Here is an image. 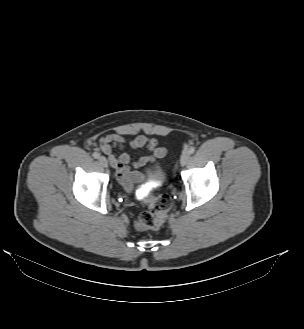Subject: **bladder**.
I'll use <instances>...</instances> for the list:
<instances>
[{
	"instance_id": "31cf9c89",
	"label": "bladder",
	"mask_w": 304,
	"mask_h": 329,
	"mask_svg": "<svg viewBox=\"0 0 304 329\" xmlns=\"http://www.w3.org/2000/svg\"><path fill=\"white\" fill-rule=\"evenodd\" d=\"M165 176V169L162 164L155 163L147 171L148 180H162Z\"/></svg>"
}]
</instances>
